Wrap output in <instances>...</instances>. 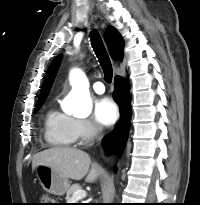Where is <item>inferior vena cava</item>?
Returning <instances> with one entry per match:
<instances>
[{"mask_svg":"<svg viewBox=\"0 0 200 205\" xmlns=\"http://www.w3.org/2000/svg\"><path fill=\"white\" fill-rule=\"evenodd\" d=\"M100 131H101V129L99 127L94 128V134L95 135H97Z\"/></svg>","mask_w":200,"mask_h":205,"instance_id":"obj_1","label":"inferior vena cava"}]
</instances>
